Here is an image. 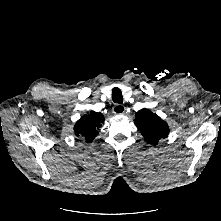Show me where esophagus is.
<instances>
[{"label": "esophagus", "mask_w": 221, "mask_h": 221, "mask_svg": "<svg viewBox=\"0 0 221 221\" xmlns=\"http://www.w3.org/2000/svg\"><path fill=\"white\" fill-rule=\"evenodd\" d=\"M113 113L116 115H122L125 113L126 108L124 105H120V104H116L113 109H112Z\"/></svg>", "instance_id": "obj_1"}]
</instances>
